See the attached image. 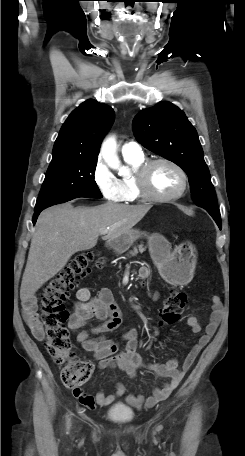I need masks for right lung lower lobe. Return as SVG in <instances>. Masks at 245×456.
Returning <instances> with one entry per match:
<instances>
[{
	"label": "right lung lower lobe",
	"instance_id": "right-lung-lower-lobe-1",
	"mask_svg": "<svg viewBox=\"0 0 245 456\" xmlns=\"http://www.w3.org/2000/svg\"><path fill=\"white\" fill-rule=\"evenodd\" d=\"M41 211L42 210L35 211L33 219H32L33 224L36 223L37 217H38V215L40 214Z\"/></svg>",
	"mask_w": 245,
	"mask_h": 456
}]
</instances>
